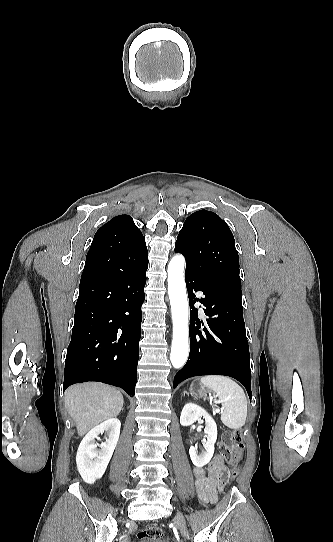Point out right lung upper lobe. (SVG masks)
I'll use <instances>...</instances> for the list:
<instances>
[{"label":"right lung upper lobe","instance_id":"obj_1","mask_svg":"<svg viewBox=\"0 0 333 542\" xmlns=\"http://www.w3.org/2000/svg\"><path fill=\"white\" fill-rule=\"evenodd\" d=\"M142 243H145V239L132 218L128 215H119L96 232L89 253L106 252L122 246Z\"/></svg>","mask_w":333,"mask_h":542}]
</instances>
